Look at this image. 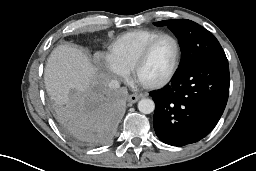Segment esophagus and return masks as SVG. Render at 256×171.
I'll return each instance as SVG.
<instances>
[{"instance_id":"obj_1","label":"esophagus","mask_w":256,"mask_h":171,"mask_svg":"<svg viewBox=\"0 0 256 171\" xmlns=\"http://www.w3.org/2000/svg\"><path fill=\"white\" fill-rule=\"evenodd\" d=\"M140 99V96L137 95V94H131L128 96V102L131 103V104H134L136 103L138 100Z\"/></svg>"}]
</instances>
